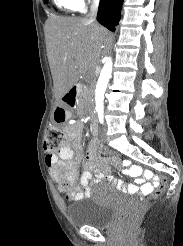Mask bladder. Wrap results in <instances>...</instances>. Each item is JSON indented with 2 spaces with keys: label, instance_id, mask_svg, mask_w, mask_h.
<instances>
[{
  "label": "bladder",
  "instance_id": "31cf9c89",
  "mask_svg": "<svg viewBox=\"0 0 183 246\" xmlns=\"http://www.w3.org/2000/svg\"><path fill=\"white\" fill-rule=\"evenodd\" d=\"M82 203L67 210L69 221L75 226H108L118 205L114 190L105 184H97Z\"/></svg>",
  "mask_w": 183,
  "mask_h": 246
}]
</instances>
